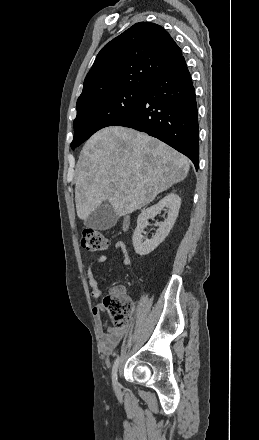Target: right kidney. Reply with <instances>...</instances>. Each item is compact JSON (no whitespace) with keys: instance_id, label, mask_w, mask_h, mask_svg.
<instances>
[{"instance_id":"obj_1","label":"right kidney","mask_w":259,"mask_h":440,"mask_svg":"<svg viewBox=\"0 0 259 440\" xmlns=\"http://www.w3.org/2000/svg\"><path fill=\"white\" fill-rule=\"evenodd\" d=\"M180 205L181 198L175 193H170L161 199L156 205L144 209L140 213L137 219V227L132 236L133 247L138 255L145 256L149 254L164 241L175 224ZM164 208L168 209L167 219L158 224L159 228L150 240L142 242V233L148 225V220L160 214Z\"/></svg>"}]
</instances>
